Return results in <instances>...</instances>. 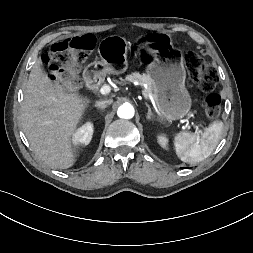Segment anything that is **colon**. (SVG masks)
I'll list each match as a JSON object with an SVG mask.
<instances>
[{"instance_id":"1","label":"colon","mask_w":253,"mask_h":253,"mask_svg":"<svg viewBox=\"0 0 253 253\" xmlns=\"http://www.w3.org/2000/svg\"><path fill=\"white\" fill-rule=\"evenodd\" d=\"M94 47V40L90 36L76 37L54 44L45 57V63L58 74L65 82L74 85L71 67L82 62ZM143 61L149 57L142 55ZM185 66L189 77L203 91L211 92L217 83V74L210 67L208 61L193 51L185 55ZM205 115L210 120H215L221 113V100L217 94H210L205 99Z\"/></svg>"}]
</instances>
